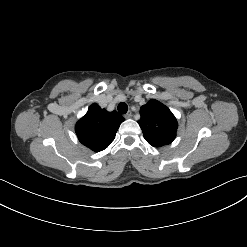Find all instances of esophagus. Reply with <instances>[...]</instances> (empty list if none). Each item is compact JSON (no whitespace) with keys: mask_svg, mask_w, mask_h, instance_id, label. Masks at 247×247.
Wrapping results in <instances>:
<instances>
[{"mask_svg":"<svg viewBox=\"0 0 247 247\" xmlns=\"http://www.w3.org/2000/svg\"><path fill=\"white\" fill-rule=\"evenodd\" d=\"M131 116H132V112H131V111H128V112L124 115V117H125L126 119L130 118Z\"/></svg>","mask_w":247,"mask_h":247,"instance_id":"obj_1","label":"esophagus"}]
</instances>
